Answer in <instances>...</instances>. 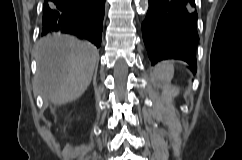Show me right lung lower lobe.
Segmentation results:
<instances>
[{
  "label": "right lung lower lobe",
  "instance_id": "right-lung-lower-lobe-1",
  "mask_svg": "<svg viewBox=\"0 0 242 160\" xmlns=\"http://www.w3.org/2000/svg\"><path fill=\"white\" fill-rule=\"evenodd\" d=\"M105 0H45L42 35L62 32L101 45Z\"/></svg>",
  "mask_w": 242,
  "mask_h": 160
}]
</instances>
